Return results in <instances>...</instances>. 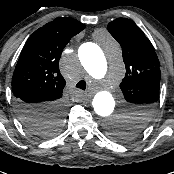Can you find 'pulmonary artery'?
I'll use <instances>...</instances> for the list:
<instances>
[{"instance_id": "obj_1", "label": "pulmonary artery", "mask_w": 174, "mask_h": 174, "mask_svg": "<svg viewBox=\"0 0 174 174\" xmlns=\"http://www.w3.org/2000/svg\"><path fill=\"white\" fill-rule=\"evenodd\" d=\"M103 86H104V88H106V89L109 88V85H108V84H104Z\"/></svg>"}]
</instances>
